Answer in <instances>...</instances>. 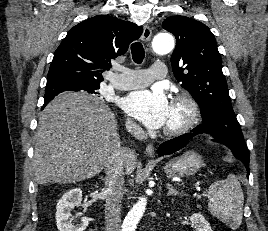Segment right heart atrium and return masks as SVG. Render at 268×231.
Listing matches in <instances>:
<instances>
[{
  "label": "right heart atrium",
  "instance_id": "obj_1",
  "mask_svg": "<svg viewBox=\"0 0 268 231\" xmlns=\"http://www.w3.org/2000/svg\"><path fill=\"white\" fill-rule=\"evenodd\" d=\"M128 126L131 128L136 127V125L132 121H128Z\"/></svg>",
  "mask_w": 268,
  "mask_h": 231
}]
</instances>
